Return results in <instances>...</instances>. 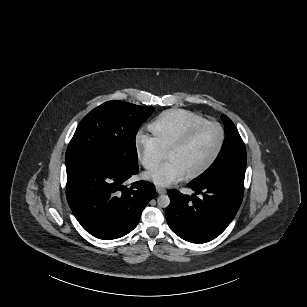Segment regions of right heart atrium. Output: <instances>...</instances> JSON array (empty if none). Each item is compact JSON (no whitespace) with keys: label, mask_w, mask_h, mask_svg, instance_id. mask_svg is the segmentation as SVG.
<instances>
[{"label":"right heart atrium","mask_w":307,"mask_h":307,"mask_svg":"<svg viewBox=\"0 0 307 307\" xmlns=\"http://www.w3.org/2000/svg\"><path fill=\"white\" fill-rule=\"evenodd\" d=\"M136 158L148 170L155 169L163 159V151L152 137L138 135L133 142Z\"/></svg>","instance_id":"right-heart-atrium-1"}]
</instances>
